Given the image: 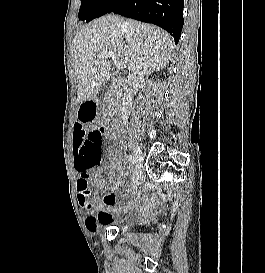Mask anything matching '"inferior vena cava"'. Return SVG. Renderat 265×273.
<instances>
[{
  "label": "inferior vena cava",
  "instance_id": "1",
  "mask_svg": "<svg viewBox=\"0 0 265 273\" xmlns=\"http://www.w3.org/2000/svg\"><path fill=\"white\" fill-rule=\"evenodd\" d=\"M123 26H126V23L123 24ZM129 79H134L135 75L132 73H129ZM132 109V90L128 87L125 88L124 96L122 99V104L120 107V119L123 122V124L126 123V120L128 119V116L130 115Z\"/></svg>",
  "mask_w": 265,
  "mask_h": 273
}]
</instances>
